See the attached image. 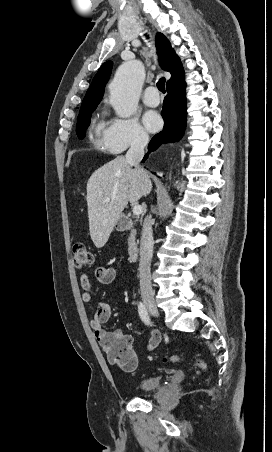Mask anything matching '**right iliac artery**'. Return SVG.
Listing matches in <instances>:
<instances>
[{
  "label": "right iliac artery",
  "mask_w": 272,
  "mask_h": 452,
  "mask_svg": "<svg viewBox=\"0 0 272 452\" xmlns=\"http://www.w3.org/2000/svg\"><path fill=\"white\" fill-rule=\"evenodd\" d=\"M138 309H139V315L141 320L146 324V325H152L151 321H150V316L148 314L147 309L145 308V305L140 302L138 305Z\"/></svg>",
  "instance_id": "82829eb1"
}]
</instances>
